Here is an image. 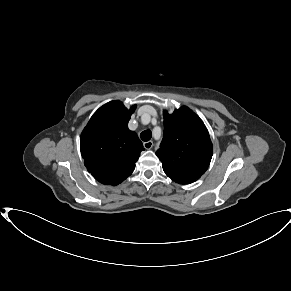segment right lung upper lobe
Returning a JSON list of instances; mask_svg holds the SVG:
<instances>
[{
    "instance_id": "cb5924a9",
    "label": "right lung upper lobe",
    "mask_w": 291,
    "mask_h": 291,
    "mask_svg": "<svg viewBox=\"0 0 291 291\" xmlns=\"http://www.w3.org/2000/svg\"><path fill=\"white\" fill-rule=\"evenodd\" d=\"M136 105L127 109L120 101L100 107L91 117L80 137L85 166L102 184L118 185L132 174L144 150L128 122Z\"/></svg>"
}]
</instances>
